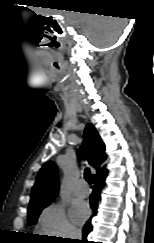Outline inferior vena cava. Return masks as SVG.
Masks as SVG:
<instances>
[{
	"label": "inferior vena cava",
	"mask_w": 154,
	"mask_h": 243,
	"mask_svg": "<svg viewBox=\"0 0 154 243\" xmlns=\"http://www.w3.org/2000/svg\"><path fill=\"white\" fill-rule=\"evenodd\" d=\"M69 236L71 239H79V240H81V237H82L81 232L76 229L70 230Z\"/></svg>",
	"instance_id": "inferior-vena-cava-1"
}]
</instances>
